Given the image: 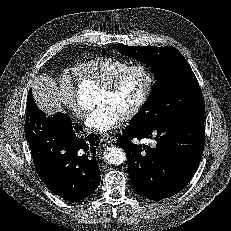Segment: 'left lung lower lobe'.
<instances>
[{
  "label": "left lung lower lobe",
  "mask_w": 231,
  "mask_h": 231,
  "mask_svg": "<svg viewBox=\"0 0 231 231\" xmlns=\"http://www.w3.org/2000/svg\"><path fill=\"white\" fill-rule=\"evenodd\" d=\"M117 144L127 154L134 190L150 200H161L181 191L191 180L202 158L203 116L166 126L126 127ZM132 138H152L154 148L135 145Z\"/></svg>",
  "instance_id": "obj_1"
}]
</instances>
